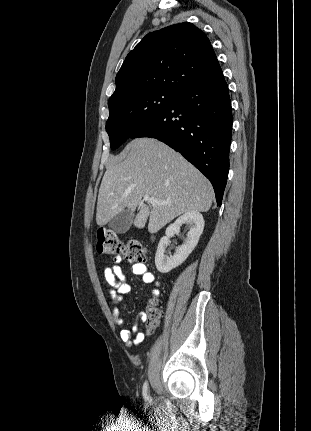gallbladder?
<instances>
[{
	"label": "gallbladder",
	"instance_id": "bac80fb5",
	"mask_svg": "<svg viewBox=\"0 0 311 431\" xmlns=\"http://www.w3.org/2000/svg\"><path fill=\"white\" fill-rule=\"evenodd\" d=\"M134 219L133 212L129 210H124V212H119L117 216L110 219L108 225L115 231V233H125L130 229Z\"/></svg>",
	"mask_w": 311,
	"mask_h": 431
}]
</instances>
